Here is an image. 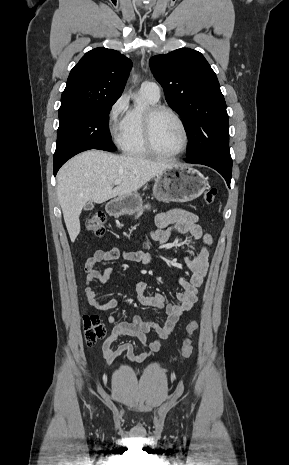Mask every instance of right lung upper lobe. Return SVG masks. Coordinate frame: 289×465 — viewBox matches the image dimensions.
<instances>
[{
	"mask_svg": "<svg viewBox=\"0 0 289 465\" xmlns=\"http://www.w3.org/2000/svg\"><path fill=\"white\" fill-rule=\"evenodd\" d=\"M131 65L130 59L112 49L99 47L87 52L69 74L59 110L118 99Z\"/></svg>",
	"mask_w": 289,
	"mask_h": 465,
	"instance_id": "obj_1",
	"label": "right lung upper lobe"
}]
</instances>
